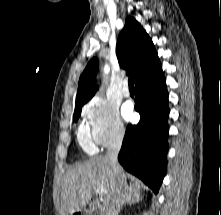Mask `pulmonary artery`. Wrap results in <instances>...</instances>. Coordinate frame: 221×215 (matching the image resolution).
Wrapping results in <instances>:
<instances>
[{
	"instance_id": "e3ab8cb5",
	"label": "pulmonary artery",
	"mask_w": 221,
	"mask_h": 215,
	"mask_svg": "<svg viewBox=\"0 0 221 215\" xmlns=\"http://www.w3.org/2000/svg\"><path fill=\"white\" fill-rule=\"evenodd\" d=\"M122 92H123V95L125 97H129L130 96V91H129V88L127 87V85L125 84L123 89H122Z\"/></svg>"
}]
</instances>
